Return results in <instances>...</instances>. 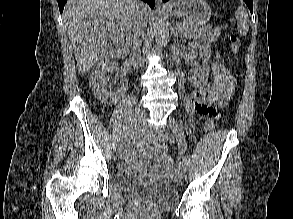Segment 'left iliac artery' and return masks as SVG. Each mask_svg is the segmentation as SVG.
Returning a JSON list of instances; mask_svg holds the SVG:
<instances>
[{
    "mask_svg": "<svg viewBox=\"0 0 293 219\" xmlns=\"http://www.w3.org/2000/svg\"><path fill=\"white\" fill-rule=\"evenodd\" d=\"M180 126L182 129V150L180 151L179 155L186 160L185 151L187 150V144L185 140L184 130H183V123L181 119V115H179Z\"/></svg>",
    "mask_w": 293,
    "mask_h": 219,
    "instance_id": "44dca946",
    "label": "left iliac artery"
}]
</instances>
